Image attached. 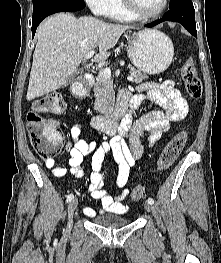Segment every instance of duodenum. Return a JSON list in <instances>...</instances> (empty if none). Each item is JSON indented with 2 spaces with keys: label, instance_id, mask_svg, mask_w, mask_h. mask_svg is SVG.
Listing matches in <instances>:
<instances>
[{
  "label": "duodenum",
  "instance_id": "obj_1",
  "mask_svg": "<svg viewBox=\"0 0 221 263\" xmlns=\"http://www.w3.org/2000/svg\"><path fill=\"white\" fill-rule=\"evenodd\" d=\"M94 81L92 73H86L79 85L73 87V93L80 95L86 86ZM138 103L131 99L130 94L122 92L119 94L116 104L115 113L112 116H97L93 119V126L106 133L115 134L117 130L125 129L131 124V113L138 107Z\"/></svg>",
  "mask_w": 221,
  "mask_h": 263
}]
</instances>
